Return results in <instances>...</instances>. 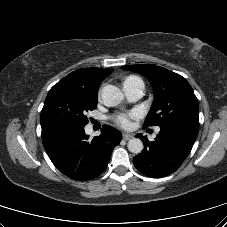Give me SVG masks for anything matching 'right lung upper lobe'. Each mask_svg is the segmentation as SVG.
Returning a JSON list of instances; mask_svg holds the SVG:
<instances>
[{
  "mask_svg": "<svg viewBox=\"0 0 227 227\" xmlns=\"http://www.w3.org/2000/svg\"><path fill=\"white\" fill-rule=\"evenodd\" d=\"M112 68L102 69V68H83L78 69L61 81L70 84L80 85L89 89L98 90V86L101 81L112 72Z\"/></svg>",
  "mask_w": 227,
  "mask_h": 227,
  "instance_id": "1",
  "label": "right lung upper lobe"
}]
</instances>
